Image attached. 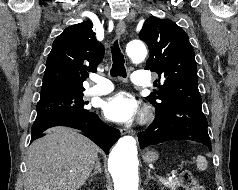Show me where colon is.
Here are the masks:
<instances>
[{"instance_id":"colon-1","label":"colon","mask_w":238,"mask_h":190,"mask_svg":"<svg viewBox=\"0 0 238 190\" xmlns=\"http://www.w3.org/2000/svg\"><path fill=\"white\" fill-rule=\"evenodd\" d=\"M179 179L185 190H205V187L188 170L181 171Z\"/></svg>"}]
</instances>
